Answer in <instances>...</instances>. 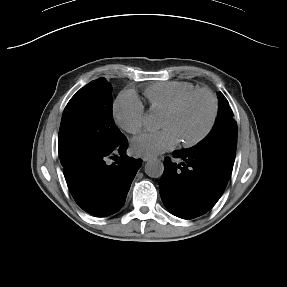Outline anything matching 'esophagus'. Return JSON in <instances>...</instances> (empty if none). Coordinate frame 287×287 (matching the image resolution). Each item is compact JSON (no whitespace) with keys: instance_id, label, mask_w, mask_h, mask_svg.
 <instances>
[{"instance_id":"1","label":"esophagus","mask_w":287,"mask_h":287,"mask_svg":"<svg viewBox=\"0 0 287 287\" xmlns=\"http://www.w3.org/2000/svg\"><path fill=\"white\" fill-rule=\"evenodd\" d=\"M143 161H149V160H152L153 158L152 157H150V156H143Z\"/></svg>"}]
</instances>
